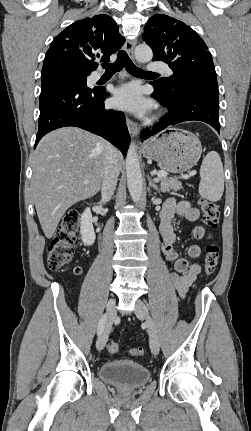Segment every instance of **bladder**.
I'll list each match as a JSON object with an SVG mask.
<instances>
[{
  "label": "bladder",
  "mask_w": 251,
  "mask_h": 431,
  "mask_svg": "<svg viewBox=\"0 0 251 431\" xmlns=\"http://www.w3.org/2000/svg\"><path fill=\"white\" fill-rule=\"evenodd\" d=\"M100 378L120 390H134L150 380V372L139 363L129 360H112L99 368Z\"/></svg>",
  "instance_id": "1"
}]
</instances>
